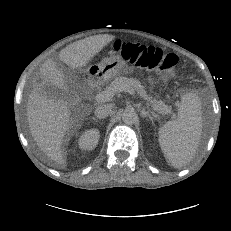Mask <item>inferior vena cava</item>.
<instances>
[{
  "mask_svg": "<svg viewBox=\"0 0 231 231\" xmlns=\"http://www.w3.org/2000/svg\"><path fill=\"white\" fill-rule=\"evenodd\" d=\"M112 111V105L111 104H103L98 106L94 113L95 116L99 119H104L106 118Z\"/></svg>",
  "mask_w": 231,
  "mask_h": 231,
  "instance_id": "1",
  "label": "inferior vena cava"
}]
</instances>
